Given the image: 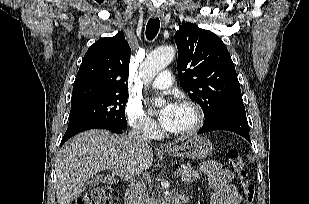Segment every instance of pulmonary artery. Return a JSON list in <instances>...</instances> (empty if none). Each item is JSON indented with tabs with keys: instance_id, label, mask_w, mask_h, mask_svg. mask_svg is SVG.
Here are the masks:
<instances>
[{
	"instance_id": "pulmonary-artery-1",
	"label": "pulmonary artery",
	"mask_w": 309,
	"mask_h": 204,
	"mask_svg": "<svg viewBox=\"0 0 309 204\" xmlns=\"http://www.w3.org/2000/svg\"><path fill=\"white\" fill-rule=\"evenodd\" d=\"M150 85L156 89H166L172 85V76L169 71L161 72Z\"/></svg>"
}]
</instances>
